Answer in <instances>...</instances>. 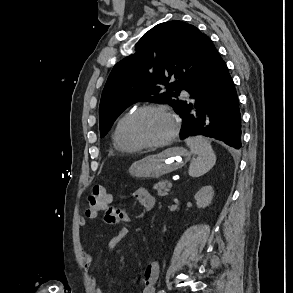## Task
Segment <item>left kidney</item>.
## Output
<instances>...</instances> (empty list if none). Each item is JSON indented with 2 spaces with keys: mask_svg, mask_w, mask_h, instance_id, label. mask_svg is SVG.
I'll list each match as a JSON object with an SVG mask.
<instances>
[{
  "mask_svg": "<svg viewBox=\"0 0 293 293\" xmlns=\"http://www.w3.org/2000/svg\"><path fill=\"white\" fill-rule=\"evenodd\" d=\"M214 197L213 187L210 185L202 187L194 196L198 208L209 206Z\"/></svg>",
  "mask_w": 293,
  "mask_h": 293,
  "instance_id": "5707ae66",
  "label": "left kidney"
}]
</instances>
